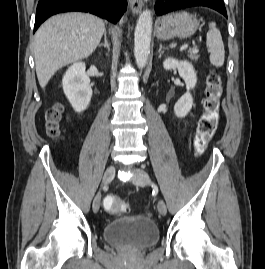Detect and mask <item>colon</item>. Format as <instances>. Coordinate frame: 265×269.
I'll return each instance as SVG.
<instances>
[{
    "label": "colon",
    "mask_w": 265,
    "mask_h": 269,
    "mask_svg": "<svg viewBox=\"0 0 265 269\" xmlns=\"http://www.w3.org/2000/svg\"><path fill=\"white\" fill-rule=\"evenodd\" d=\"M222 94V82L219 74L211 70L206 79L203 113L198 123L194 148L197 153L205 151L216 132L219 122V100ZM63 107L54 105L46 113L47 134L56 138L61 131ZM105 210L109 213H120L127 210L126 203L118 196L109 195L104 199Z\"/></svg>",
    "instance_id": "colon-1"
}]
</instances>
